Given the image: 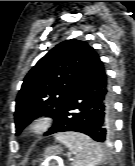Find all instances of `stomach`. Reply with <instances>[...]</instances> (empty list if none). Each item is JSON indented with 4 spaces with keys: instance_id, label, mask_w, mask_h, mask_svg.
Wrapping results in <instances>:
<instances>
[{
    "instance_id": "0dacf381",
    "label": "stomach",
    "mask_w": 135,
    "mask_h": 166,
    "mask_svg": "<svg viewBox=\"0 0 135 166\" xmlns=\"http://www.w3.org/2000/svg\"><path fill=\"white\" fill-rule=\"evenodd\" d=\"M61 153V148L59 146H51L45 150L44 156L58 155Z\"/></svg>"
}]
</instances>
